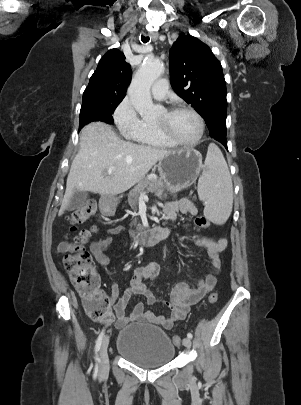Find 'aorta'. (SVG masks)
Here are the masks:
<instances>
[{"instance_id":"1","label":"aorta","mask_w":301,"mask_h":405,"mask_svg":"<svg viewBox=\"0 0 301 405\" xmlns=\"http://www.w3.org/2000/svg\"><path fill=\"white\" fill-rule=\"evenodd\" d=\"M164 72V65L157 59H146L134 75L128 93L135 110L143 117L151 115L156 108L152 102L150 88Z\"/></svg>"}]
</instances>
